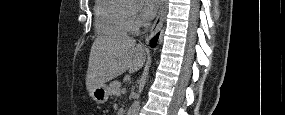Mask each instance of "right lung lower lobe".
Listing matches in <instances>:
<instances>
[{"label":"right lung lower lobe","mask_w":285,"mask_h":115,"mask_svg":"<svg viewBox=\"0 0 285 115\" xmlns=\"http://www.w3.org/2000/svg\"><path fill=\"white\" fill-rule=\"evenodd\" d=\"M159 34H157L152 40H151V46L154 47L156 45L157 39Z\"/></svg>","instance_id":"1"}]
</instances>
